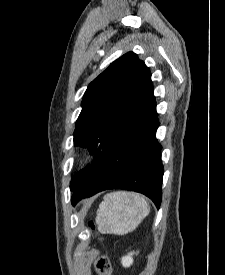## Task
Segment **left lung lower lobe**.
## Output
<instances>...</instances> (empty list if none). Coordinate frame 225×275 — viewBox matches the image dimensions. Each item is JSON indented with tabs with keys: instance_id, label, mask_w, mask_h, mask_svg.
Returning a JSON list of instances; mask_svg holds the SVG:
<instances>
[{
	"instance_id": "obj_1",
	"label": "left lung lower lobe",
	"mask_w": 225,
	"mask_h": 275,
	"mask_svg": "<svg viewBox=\"0 0 225 275\" xmlns=\"http://www.w3.org/2000/svg\"><path fill=\"white\" fill-rule=\"evenodd\" d=\"M159 121L154 103L73 191L72 204L108 189L143 193L160 207L163 179Z\"/></svg>"
}]
</instances>
